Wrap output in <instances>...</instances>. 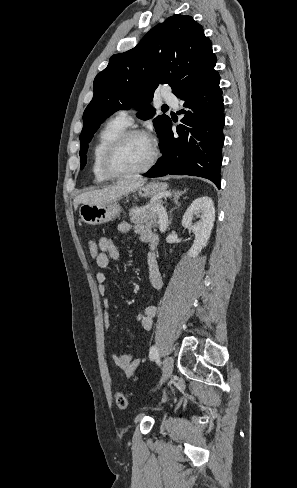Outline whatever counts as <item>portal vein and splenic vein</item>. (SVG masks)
<instances>
[{
    "label": "portal vein and splenic vein",
    "instance_id": "obj_1",
    "mask_svg": "<svg viewBox=\"0 0 297 488\" xmlns=\"http://www.w3.org/2000/svg\"><path fill=\"white\" fill-rule=\"evenodd\" d=\"M155 209H156L158 216H159L160 228H163V226L165 225V222H166L165 210H164L163 206H161V205H157L155 207Z\"/></svg>",
    "mask_w": 297,
    "mask_h": 488
}]
</instances>
